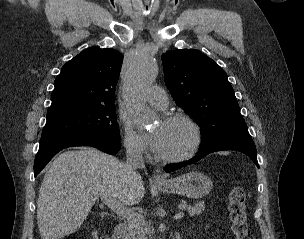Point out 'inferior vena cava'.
<instances>
[{
	"mask_svg": "<svg viewBox=\"0 0 304 239\" xmlns=\"http://www.w3.org/2000/svg\"><path fill=\"white\" fill-rule=\"evenodd\" d=\"M124 146L126 149V175L130 178L139 177V174L136 172V169L144 166L142 149L132 141H126L124 143Z\"/></svg>",
	"mask_w": 304,
	"mask_h": 239,
	"instance_id": "inferior-vena-cava-1",
	"label": "inferior vena cava"
}]
</instances>
